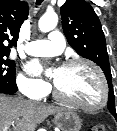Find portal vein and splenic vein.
<instances>
[{"mask_svg": "<svg viewBox=\"0 0 117 131\" xmlns=\"http://www.w3.org/2000/svg\"><path fill=\"white\" fill-rule=\"evenodd\" d=\"M10 125H11V124L6 125V126L4 127V129H3V131H7Z\"/></svg>", "mask_w": 117, "mask_h": 131, "instance_id": "18ae733b", "label": "portal vein and splenic vein"}]
</instances>
